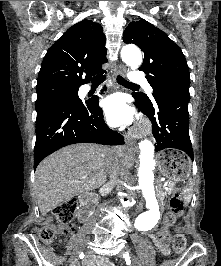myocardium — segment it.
Wrapping results in <instances>:
<instances>
[{
	"label": "myocardium",
	"instance_id": "myocardium-1",
	"mask_svg": "<svg viewBox=\"0 0 221 266\" xmlns=\"http://www.w3.org/2000/svg\"><path fill=\"white\" fill-rule=\"evenodd\" d=\"M151 132V127L149 124L145 123L141 125L136 131H135V136L141 137L146 134H149Z\"/></svg>",
	"mask_w": 221,
	"mask_h": 266
}]
</instances>
